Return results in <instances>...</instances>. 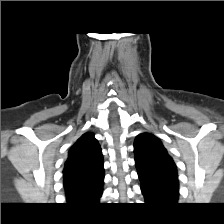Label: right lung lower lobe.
<instances>
[{"label": "right lung lower lobe", "mask_w": 224, "mask_h": 224, "mask_svg": "<svg viewBox=\"0 0 224 224\" xmlns=\"http://www.w3.org/2000/svg\"><path fill=\"white\" fill-rule=\"evenodd\" d=\"M101 194H102V191L99 194H97L96 197L93 198V202L98 201L100 199V197H101Z\"/></svg>", "instance_id": "1"}]
</instances>
